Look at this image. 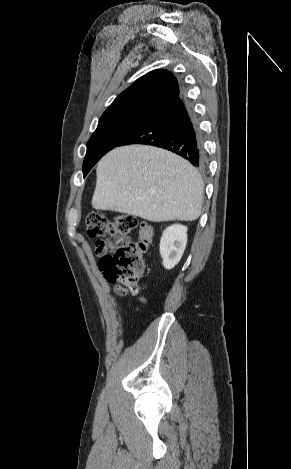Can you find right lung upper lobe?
Wrapping results in <instances>:
<instances>
[{
	"label": "right lung upper lobe",
	"instance_id": "right-lung-upper-lobe-1",
	"mask_svg": "<svg viewBox=\"0 0 291 469\" xmlns=\"http://www.w3.org/2000/svg\"><path fill=\"white\" fill-rule=\"evenodd\" d=\"M181 94L178 80L170 71L153 70L118 95L103 116L130 110L154 114Z\"/></svg>",
	"mask_w": 291,
	"mask_h": 469
}]
</instances>
